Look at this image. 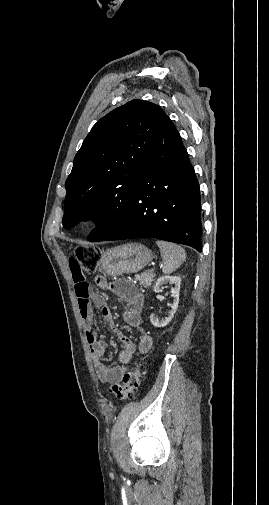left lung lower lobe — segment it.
Instances as JSON below:
<instances>
[{"label":"left lung lower lobe","mask_w":269,"mask_h":505,"mask_svg":"<svg viewBox=\"0 0 269 505\" xmlns=\"http://www.w3.org/2000/svg\"><path fill=\"white\" fill-rule=\"evenodd\" d=\"M201 197L181 137L166 115L145 158L130 213L102 240L157 238L201 252Z\"/></svg>","instance_id":"0a47b994"}]
</instances>
